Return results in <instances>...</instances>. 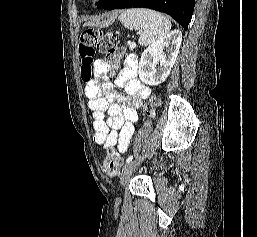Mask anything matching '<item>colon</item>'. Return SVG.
Segmentation results:
<instances>
[{"mask_svg": "<svg viewBox=\"0 0 257 237\" xmlns=\"http://www.w3.org/2000/svg\"><path fill=\"white\" fill-rule=\"evenodd\" d=\"M79 54L81 58V73L88 78L92 73V63L96 54H102L105 60L113 66H117L124 54V48L119 46V40L114 33H104L96 28L86 29L79 42ZM159 98L154 96L145 106L147 115H151L153 108L159 105ZM123 159L115 150L109 151L103 160V170L110 176L115 177L120 173Z\"/></svg>", "mask_w": 257, "mask_h": 237, "instance_id": "5ec220e1", "label": "colon"}]
</instances>
